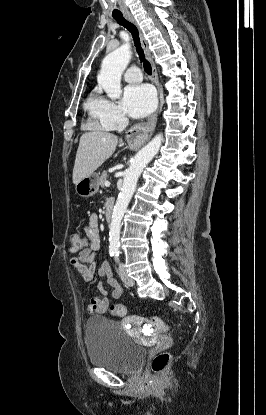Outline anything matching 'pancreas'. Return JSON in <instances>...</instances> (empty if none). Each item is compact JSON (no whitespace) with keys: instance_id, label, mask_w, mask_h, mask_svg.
<instances>
[{"instance_id":"cf45deb5","label":"pancreas","mask_w":266,"mask_h":415,"mask_svg":"<svg viewBox=\"0 0 266 415\" xmlns=\"http://www.w3.org/2000/svg\"><path fill=\"white\" fill-rule=\"evenodd\" d=\"M107 178H108L107 172L103 171V173L101 174V177L99 178V186L100 187L104 186V183H105V181H107Z\"/></svg>"}]
</instances>
